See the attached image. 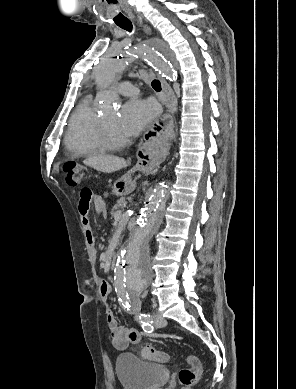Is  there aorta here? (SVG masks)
Returning <instances> with one entry per match:
<instances>
[{"label":"aorta","mask_w":296,"mask_h":389,"mask_svg":"<svg viewBox=\"0 0 296 389\" xmlns=\"http://www.w3.org/2000/svg\"><path fill=\"white\" fill-rule=\"evenodd\" d=\"M158 43L146 44L135 48L104 55L95 67V81L99 88L109 87L116 77L134 62H145L155 66L167 79L175 78L173 66L166 56L158 52ZM102 107L111 105L113 98L108 94L99 97ZM168 197V187L162 182L157 185L145 204L142 215L136 222L126 243L121 247L115 266V285L123 297L137 295L145 290L152 281L154 271L150 259L149 243L163 221Z\"/></svg>","instance_id":"1"}]
</instances>
